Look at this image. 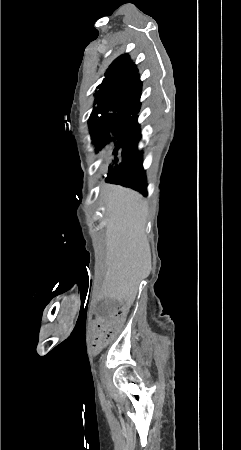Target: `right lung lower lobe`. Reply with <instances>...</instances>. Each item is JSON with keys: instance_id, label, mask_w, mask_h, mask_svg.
I'll use <instances>...</instances> for the list:
<instances>
[{"instance_id": "98d812e1", "label": "right lung lower lobe", "mask_w": 241, "mask_h": 450, "mask_svg": "<svg viewBox=\"0 0 241 450\" xmlns=\"http://www.w3.org/2000/svg\"><path fill=\"white\" fill-rule=\"evenodd\" d=\"M106 181L130 187L143 195H147L142 151H138L135 147L108 173Z\"/></svg>"}]
</instances>
